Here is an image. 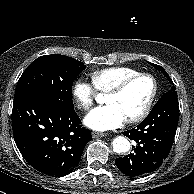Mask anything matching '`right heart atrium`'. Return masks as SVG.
Listing matches in <instances>:
<instances>
[{"mask_svg": "<svg viewBox=\"0 0 194 194\" xmlns=\"http://www.w3.org/2000/svg\"><path fill=\"white\" fill-rule=\"evenodd\" d=\"M71 93L76 106L84 111L90 109L96 95L94 86L83 78H78L74 81Z\"/></svg>", "mask_w": 194, "mask_h": 194, "instance_id": "right-heart-atrium-1", "label": "right heart atrium"}]
</instances>
